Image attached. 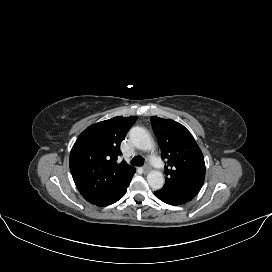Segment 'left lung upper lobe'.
<instances>
[{
	"label": "left lung upper lobe",
	"mask_w": 272,
	"mask_h": 272,
	"mask_svg": "<svg viewBox=\"0 0 272 272\" xmlns=\"http://www.w3.org/2000/svg\"><path fill=\"white\" fill-rule=\"evenodd\" d=\"M153 131L167 160L163 188L199 192L205 178L203 154L191 133L171 119L151 117Z\"/></svg>",
	"instance_id": "5c2ea615"
}]
</instances>
